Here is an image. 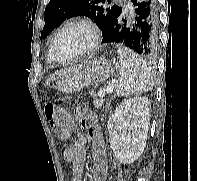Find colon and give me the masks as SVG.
I'll list each match as a JSON object with an SVG mask.
<instances>
[{"instance_id": "obj_1", "label": "colon", "mask_w": 197, "mask_h": 181, "mask_svg": "<svg viewBox=\"0 0 197 181\" xmlns=\"http://www.w3.org/2000/svg\"><path fill=\"white\" fill-rule=\"evenodd\" d=\"M45 116L55 133L63 135L71 123V117L59 109L54 103H47L44 108Z\"/></svg>"}]
</instances>
